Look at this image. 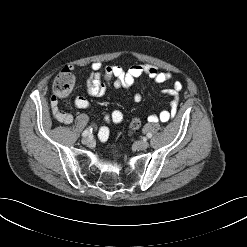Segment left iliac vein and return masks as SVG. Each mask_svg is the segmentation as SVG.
<instances>
[{
  "label": "left iliac vein",
  "mask_w": 247,
  "mask_h": 247,
  "mask_svg": "<svg viewBox=\"0 0 247 247\" xmlns=\"http://www.w3.org/2000/svg\"><path fill=\"white\" fill-rule=\"evenodd\" d=\"M135 147L138 150H145L149 147V143L147 141H138L135 143Z\"/></svg>",
  "instance_id": "obj_1"
}]
</instances>
